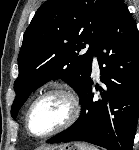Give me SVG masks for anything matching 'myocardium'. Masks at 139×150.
<instances>
[{
	"instance_id": "f54148a6",
	"label": "myocardium",
	"mask_w": 139,
	"mask_h": 150,
	"mask_svg": "<svg viewBox=\"0 0 139 150\" xmlns=\"http://www.w3.org/2000/svg\"><path fill=\"white\" fill-rule=\"evenodd\" d=\"M54 94L62 95L67 99L69 106H70V114H69L68 118L61 125L56 127L55 129H53L45 134H42V135L34 134L30 127V118H31L32 111H33L34 107L36 106V104L42 98L49 96V95H54ZM80 114H81L80 100L71 90L64 88V87L49 88V89L41 92L30 104V106L27 110L26 116H25V127L27 130V133L31 137L36 138V139H45V138H48L50 136H53L55 134H58L64 130L70 128L78 120Z\"/></svg>"
}]
</instances>
